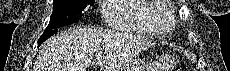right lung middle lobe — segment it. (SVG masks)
<instances>
[{"instance_id": "1", "label": "right lung middle lobe", "mask_w": 230, "mask_h": 71, "mask_svg": "<svg viewBox=\"0 0 230 71\" xmlns=\"http://www.w3.org/2000/svg\"><path fill=\"white\" fill-rule=\"evenodd\" d=\"M95 0H53V13L47 30L57 29L77 22L82 11L88 6L93 5Z\"/></svg>"}]
</instances>
